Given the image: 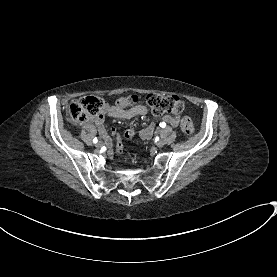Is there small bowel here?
Returning a JSON list of instances; mask_svg holds the SVG:
<instances>
[{
	"mask_svg": "<svg viewBox=\"0 0 277 277\" xmlns=\"http://www.w3.org/2000/svg\"><path fill=\"white\" fill-rule=\"evenodd\" d=\"M148 113V108L142 104H136L128 110H122L116 106H110L109 104H104L100 113L95 116H92L90 119L96 124L98 131L101 135H103L102 141V149L105 156L110 157L113 154L112 140L110 136L107 135L106 128L104 126V119L106 116L113 117L117 119H121L124 121H128L132 118L138 116H145ZM162 120L171 125L176 127L179 123V119L176 115H165ZM154 131V123H151L146 128L142 129L139 133L142 139H150ZM111 134L116 135L119 132L118 127L113 126L110 129ZM124 137L127 140L134 138L135 133L134 129L131 126H127L124 129Z\"/></svg>",
	"mask_w": 277,
	"mask_h": 277,
	"instance_id": "small-bowel-1",
	"label": "small bowel"
}]
</instances>
